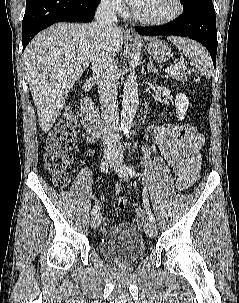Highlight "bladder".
<instances>
[{"label":"bladder","instance_id":"31cf9c89","mask_svg":"<svg viewBox=\"0 0 239 303\" xmlns=\"http://www.w3.org/2000/svg\"><path fill=\"white\" fill-rule=\"evenodd\" d=\"M98 247L104 257L124 265L132 264L145 252V243L139 233L103 240Z\"/></svg>","mask_w":239,"mask_h":303}]
</instances>
